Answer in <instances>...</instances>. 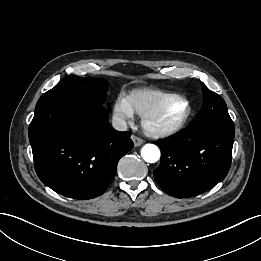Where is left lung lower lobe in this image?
I'll return each instance as SVG.
<instances>
[{
	"instance_id": "obj_1",
	"label": "left lung lower lobe",
	"mask_w": 261,
	"mask_h": 261,
	"mask_svg": "<svg viewBox=\"0 0 261 261\" xmlns=\"http://www.w3.org/2000/svg\"><path fill=\"white\" fill-rule=\"evenodd\" d=\"M233 122L187 126L159 140L161 163L154 170L158 185L177 198L196 196L223 180L231 165Z\"/></svg>"
}]
</instances>
